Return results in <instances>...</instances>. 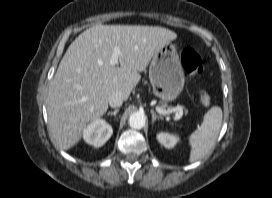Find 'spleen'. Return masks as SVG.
I'll use <instances>...</instances> for the list:
<instances>
[{"mask_svg": "<svg viewBox=\"0 0 272 198\" xmlns=\"http://www.w3.org/2000/svg\"><path fill=\"white\" fill-rule=\"evenodd\" d=\"M222 109L213 106L204 115L201 126L189 137L191 146L189 162L203 158L214 146L222 124Z\"/></svg>", "mask_w": 272, "mask_h": 198, "instance_id": "obj_1", "label": "spleen"}]
</instances>
